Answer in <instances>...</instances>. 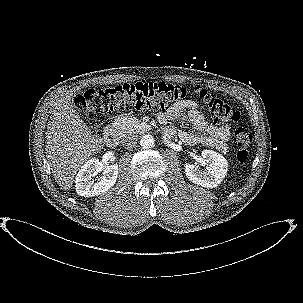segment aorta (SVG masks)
I'll return each instance as SVG.
<instances>
[{
    "mask_svg": "<svg viewBox=\"0 0 303 303\" xmlns=\"http://www.w3.org/2000/svg\"><path fill=\"white\" fill-rule=\"evenodd\" d=\"M155 140L152 135L146 134L141 137L140 144L144 149H149L154 146Z\"/></svg>",
    "mask_w": 303,
    "mask_h": 303,
    "instance_id": "762f6f07",
    "label": "aorta"
}]
</instances>
